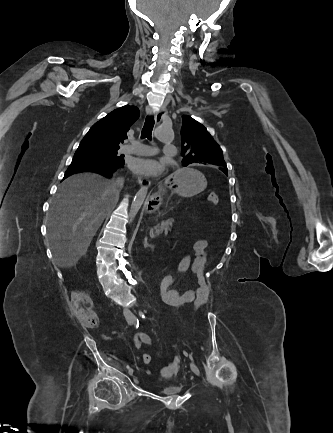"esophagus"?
<instances>
[{
	"instance_id": "34e87169",
	"label": "esophagus",
	"mask_w": 333,
	"mask_h": 433,
	"mask_svg": "<svg viewBox=\"0 0 333 433\" xmlns=\"http://www.w3.org/2000/svg\"><path fill=\"white\" fill-rule=\"evenodd\" d=\"M166 114L167 110L165 107H162L158 110L155 116V125L157 127L161 124L162 119L166 116ZM138 183L141 185V187L147 188L150 185V180L145 176H138Z\"/></svg>"
}]
</instances>
